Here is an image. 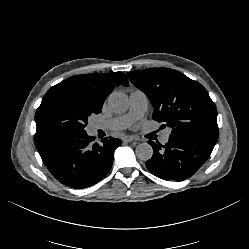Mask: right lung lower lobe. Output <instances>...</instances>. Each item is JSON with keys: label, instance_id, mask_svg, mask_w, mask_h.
Here are the masks:
<instances>
[{"label": "right lung lower lobe", "instance_id": "right-lung-lower-lobe-1", "mask_svg": "<svg viewBox=\"0 0 249 249\" xmlns=\"http://www.w3.org/2000/svg\"><path fill=\"white\" fill-rule=\"evenodd\" d=\"M87 133L45 138L35 146L49 171L62 184L86 188L110 171L114 150L121 140L103 138L101 143Z\"/></svg>", "mask_w": 249, "mask_h": 249}]
</instances>
